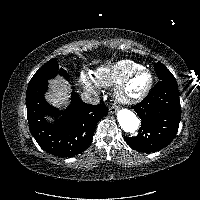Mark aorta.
<instances>
[{"label": "aorta", "mask_w": 200, "mask_h": 200, "mask_svg": "<svg viewBox=\"0 0 200 200\" xmlns=\"http://www.w3.org/2000/svg\"><path fill=\"white\" fill-rule=\"evenodd\" d=\"M118 122L125 132L133 133L140 125L139 118L128 109H121L117 113Z\"/></svg>", "instance_id": "762f6f07"}]
</instances>
